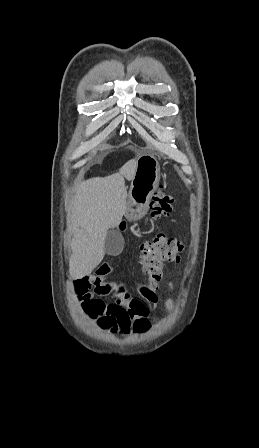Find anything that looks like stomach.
<instances>
[{"instance_id": "stomach-1", "label": "stomach", "mask_w": 259, "mask_h": 448, "mask_svg": "<svg viewBox=\"0 0 259 448\" xmlns=\"http://www.w3.org/2000/svg\"><path fill=\"white\" fill-rule=\"evenodd\" d=\"M160 180V166L151 154H142L136 160V172L129 190L132 206L126 208V220L138 221L148 210V204L157 190Z\"/></svg>"}]
</instances>
